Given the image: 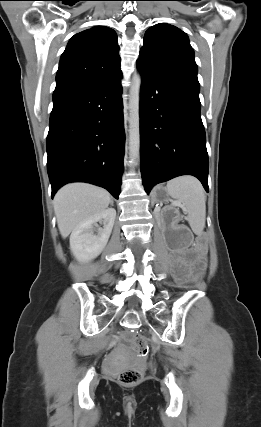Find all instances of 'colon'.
<instances>
[{
  "label": "colon",
  "mask_w": 261,
  "mask_h": 427,
  "mask_svg": "<svg viewBox=\"0 0 261 427\" xmlns=\"http://www.w3.org/2000/svg\"><path fill=\"white\" fill-rule=\"evenodd\" d=\"M132 347L135 353L141 357L146 358L149 353V346L147 339L144 336L137 335L132 338ZM144 376V372L139 368H131L124 370L118 376V381L123 386H134L139 384Z\"/></svg>",
  "instance_id": "5ec220e1"
}]
</instances>
